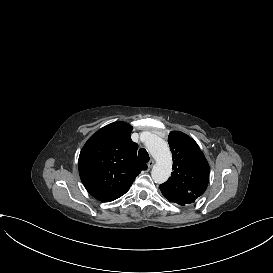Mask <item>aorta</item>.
I'll use <instances>...</instances> for the list:
<instances>
[{"instance_id": "762f6f07", "label": "aorta", "mask_w": 273, "mask_h": 273, "mask_svg": "<svg viewBox=\"0 0 273 273\" xmlns=\"http://www.w3.org/2000/svg\"><path fill=\"white\" fill-rule=\"evenodd\" d=\"M146 147L156 160L151 176L155 183L162 184L168 180L172 171V155L168 144L156 135H150Z\"/></svg>"}]
</instances>
